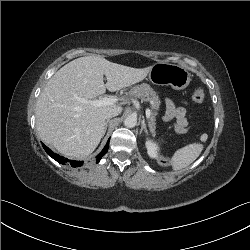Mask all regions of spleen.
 <instances>
[{
  "label": "spleen",
  "instance_id": "3e777b00",
  "mask_svg": "<svg viewBox=\"0 0 250 250\" xmlns=\"http://www.w3.org/2000/svg\"><path fill=\"white\" fill-rule=\"evenodd\" d=\"M203 145L200 143H192L178 149L171 159L173 169L181 170L193 163L203 150Z\"/></svg>",
  "mask_w": 250,
  "mask_h": 250
}]
</instances>
